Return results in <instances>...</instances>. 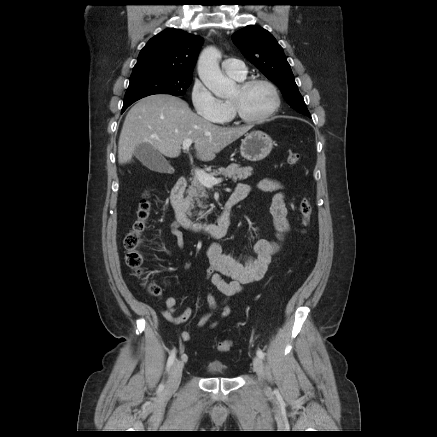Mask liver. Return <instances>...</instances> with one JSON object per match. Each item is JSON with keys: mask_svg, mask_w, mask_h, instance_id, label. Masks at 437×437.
Returning a JSON list of instances; mask_svg holds the SVG:
<instances>
[{"mask_svg": "<svg viewBox=\"0 0 437 437\" xmlns=\"http://www.w3.org/2000/svg\"><path fill=\"white\" fill-rule=\"evenodd\" d=\"M249 129L215 125L192 112L180 98L151 95L138 101L126 115L118 142V162H130L142 143L150 144L161 155L176 158L185 139L193 140L199 160L211 161Z\"/></svg>", "mask_w": 437, "mask_h": 437, "instance_id": "obj_1", "label": "liver"}]
</instances>
